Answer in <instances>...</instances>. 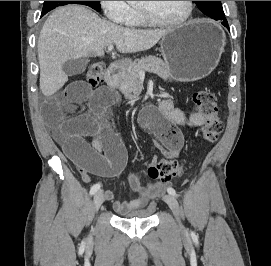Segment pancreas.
<instances>
[{
	"label": "pancreas",
	"mask_w": 271,
	"mask_h": 266,
	"mask_svg": "<svg viewBox=\"0 0 271 266\" xmlns=\"http://www.w3.org/2000/svg\"><path fill=\"white\" fill-rule=\"evenodd\" d=\"M140 71L155 73L167 77L168 71L165 62L155 56H145L132 62L120 82V90L125 97L134 99L141 94L143 86L139 79Z\"/></svg>",
	"instance_id": "pancreas-1"
}]
</instances>
